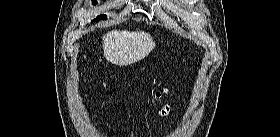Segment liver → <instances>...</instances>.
<instances>
[{
	"instance_id": "liver-1",
	"label": "liver",
	"mask_w": 280,
	"mask_h": 137,
	"mask_svg": "<svg viewBox=\"0 0 280 137\" xmlns=\"http://www.w3.org/2000/svg\"><path fill=\"white\" fill-rule=\"evenodd\" d=\"M105 58L118 66H127L146 57L156 46L144 31L112 30L102 37Z\"/></svg>"
}]
</instances>
